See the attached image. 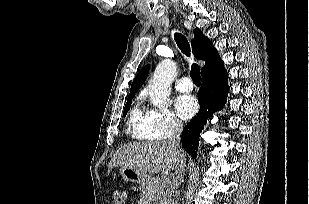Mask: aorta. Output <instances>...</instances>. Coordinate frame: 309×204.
<instances>
[{
  "mask_svg": "<svg viewBox=\"0 0 309 204\" xmlns=\"http://www.w3.org/2000/svg\"><path fill=\"white\" fill-rule=\"evenodd\" d=\"M176 74V63L170 59L161 61L149 84V96L154 106L164 108L171 91V83Z\"/></svg>",
  "mask_w": 309,
  "mask_h": 204,
  "instance_id": "obj_1",
  "label": "aorta"
}]
</instances>
